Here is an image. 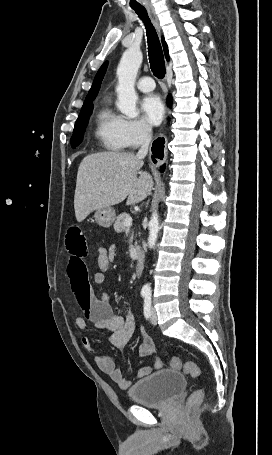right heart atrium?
<instances>
[{
  "mask_svg": "<svg viewBox=\"0 0 272 455\" xmlns=\"http://www.w3.org/2000/svg\"><path fill=\"white\" fill-rule=\"evenodd\" d=\"M121 133L126 147L129 148H136L151 137L150 127L141 119H122Z\"/></svg>",
  "mask_w": 272,
  "mask_h": 455,
  "instance_id": "1",
  "label": "right heart atrium"
}]
</instances>
